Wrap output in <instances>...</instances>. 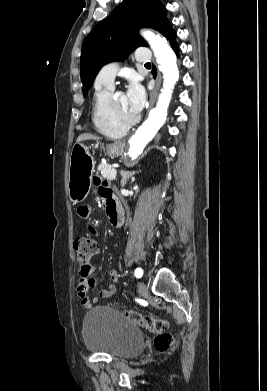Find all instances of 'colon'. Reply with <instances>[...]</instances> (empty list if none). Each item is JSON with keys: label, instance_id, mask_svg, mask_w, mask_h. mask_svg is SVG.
I'll return each mask as SVG.
<instances>
[{"label": "colon", "instance_id": "colon-1", "mask_svg": "<svg viewBox=\"0 0 267 391\" xmlns=\"http://www.w3.org/2000/svg\"><path fill=\"white\" fill-rule=\"evenodd\" d=\"M73 245L80 268L84 270L88 269L93 257L99 251L98 241L90 236H78L74 240ZM124 316L154 335V345L158 351L164 352L172 346L173 337L168 332L169 323L166 319L154 315L142 314L135 310H126Z\"/></svg>", "mask_w": 267, "mask_h": 391}]
</instances>
